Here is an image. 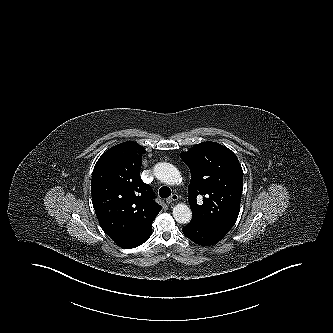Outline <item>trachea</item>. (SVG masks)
Wrapping results in <instances>:
<instances>
[{
  "mask_svg": "<svg viewBox=\"0 0 333 333\" xmlns=\"http://www.w3.org/2000/svg\"><path fill=\"white\" fill-rule=\"evenodd\" d=\"M159 195L162 198H168L171 195V189L167 186H163L159 190Z\"/></svg>",
  "mask_w": 333,
  "mask_h": 333,
  "instance_id": "3493384b",
  "label": "trachea"
}]
</instances>
